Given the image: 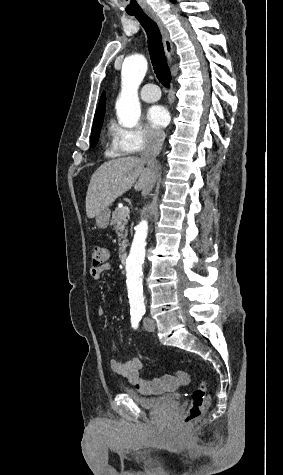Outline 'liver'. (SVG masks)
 I'll return each instance as SVG.
<instances>
[{
  "mask_svg": "<svg viewBox=\"0 0 283 475\" xmlns=\"http://www.w3.org/2000/svg\"><path fill=\"white\" fill-rule=\"evenodd\" d=\"M143 162L138 156L117 158L104 162L94 172L87 190L86 216L95 218L101 210H105L115 202L116 198L131 190L133 184L137 192L142 190L143 196H147L153 188L154 180L148 176Z\"/></svg>",
  "mask_w": 283,
  "mask_h": 475,
  "instance_id": "liver-1",
  "label": "liver"
}]
</instances>
